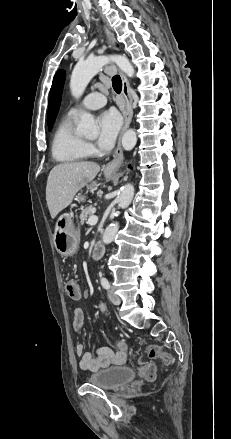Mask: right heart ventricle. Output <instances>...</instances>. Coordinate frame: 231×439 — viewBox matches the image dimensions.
<instances>
[{"label": "right heart ventricle", "instance_id": "obj_1", "mask_svg": "<svg viewBox=\"0 0 231 439\" xmlns=\"http://www.w3.org/2000/svg\"><path fill=\"white\" fill-rule=\"evenodd\" d=\"M53 158L64 164L76 163L88 156L85 141L74 128V117L66 116L57 126L51 145Z\"/></svg>", "mask_w": 231, "mask_h": 439}]
</instances>
